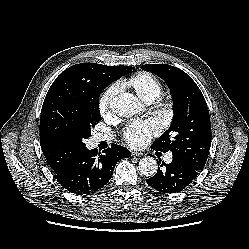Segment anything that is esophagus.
Returning <instances> with one entry per match:
<instances>
[{
	"mask_svg": "<svg viewBox=\"0 0 249 249\" xmlns=\"http://www.w3.org/2000/svg\"><path fill=\"white\" fill-rule=\"evenodd\" d=\"M131 155L132 156H143L144 154L142 152L131 151Z\"/></svg>",
	"mask_w": 249,
	"mask_h": 249,
	"instance_id": "obj_1",
	"label": "esophagus"
}]
</instances>
